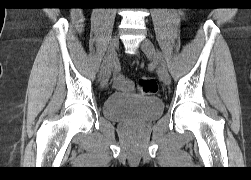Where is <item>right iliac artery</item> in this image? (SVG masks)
Instances as JSON below:
<instances>
[{"instance_id": "right-iliac-artery-1", "label": "right iliac artery", "mask_w": 251, "mask_h": 180, "mask_svg": "<svg viewBox=\"0 0 251 180\" xmlns=\"http://www.w3.org/2000/svg\"><path fill=\"white\" fill-rule=\"evenodd\" d=\"M106 61H107V58L105 57V59L103 60V63H102V66H101V71H100V75L102 74L105 66H106Z\"/></svg>"}]
</instances>
